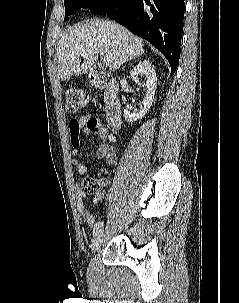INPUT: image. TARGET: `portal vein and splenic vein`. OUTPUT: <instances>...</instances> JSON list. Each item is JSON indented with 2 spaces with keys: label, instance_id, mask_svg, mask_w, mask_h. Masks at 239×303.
<instances>
[{
  "label": "portal vein and splenic vein",
  "instance_id": "1",
  "mask_svg": "<svg viewBox=\"0 0 239 303\" xmlns=\"http://www.w3.org/2000/svg\"><path fill=\"white\" fill-rule=\"evenodd\" d=\"M82 55L84 56V55H86V53L83 52ZM103 62H104L106 65H109V64H111L112 60H111L109 57H104V58H103Z\"/></svg>",
  "mask_w": 239,
  "mask_h": 303
}]
</instances>
